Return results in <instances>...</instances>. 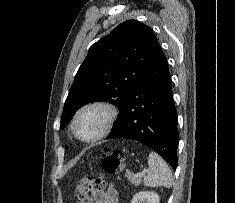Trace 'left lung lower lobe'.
Masks as SVG:
<instances>
[{"label": "left lung lower lobe", "instance_id": "left-lung-lower-lobe-1", "mask_svg": "<svg viewBox=\"0 0 235 203\" xmlns=\"http://www.w3.org/2000/svg\"><path fill=\"white\" fill-rule=\"evenodd\" d=\"M177 123L171 76L159 45L106 139L137 140L159 153L175 171L179 142Z\"/></svg>", "mask_w": 235, "mask_h": 203}]
</instances>
